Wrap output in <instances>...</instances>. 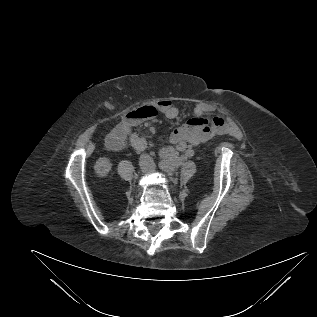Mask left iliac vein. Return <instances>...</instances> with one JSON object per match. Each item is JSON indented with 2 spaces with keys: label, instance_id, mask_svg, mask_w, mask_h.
Returning a JSON list of instances; mask_svg holds the SVG:
<instances>
[{
  "label": "left iliac vein",
  "instance_id": "4c4485c4",
  "mask_svg": "<svg viewBox=\"0 0 317 317\" xmlns=\"http://www.w3.org/2000/svg\"><path fill=\"white\" fill-rule=\"evenodd\" d=\"M172 164L175 165V162H172ZM168 172L171 173V172H172V169H171V168H168Z\"/></svg>",
  "mask_w": 317,
  "mask_h": 317
}]
</instances>
